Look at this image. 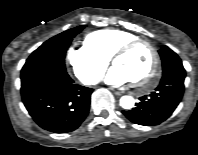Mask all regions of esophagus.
Wrapping results in <instances>:
<instances>
[{
    "mask_svg": "<svg viewBox=\"0 0 198 155\" xmlns=\"http://www.w3.org/2000/svg\"><path fill=\"white\" fill-rule=\"evenodd\" d=\"M123 94V92H121V91H116L115 92V95H117V96H120V95H122Z\"/></svg>",
    "mask_w": 198,
    "mask_h": 155,
    "instance_id": "obj_1",
    "label": "esophagus"
}]
</instances>
